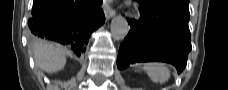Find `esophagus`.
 <instances>
[{"mask_svg":"<svg viewBox=\"0 0 228 90\" xmlns=\"http://www.w3.org/2000/svg\"><path fill=\"white\" fill-rule=\"evenodd\" d=\"M103 10H104L106 19H110L114 17L116 14V11L107 2L103 4Z\"/></svg>","mask_w":228,"mask_h":90,"instance_id":"1","label":"esophagus"}]
</instances>
